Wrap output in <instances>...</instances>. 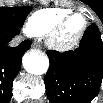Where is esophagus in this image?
<instances>
[{"label":"esophagus","instance_id":"34e87169","mask_svg":"<svg viewBox=\"0 0 103 103\" xmlns=\"http://www.w3.org/2000/svg\"><path fill=\"white\" fill-rule=\"evenodd\" d=\"M32 47H33L34 49H37V48H39V44L36 43V42H34V43L32 44Z\"/></svg>","mask_w":103,"mask_h":103}]
</instances>
